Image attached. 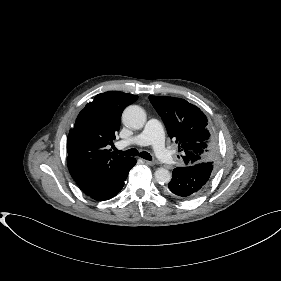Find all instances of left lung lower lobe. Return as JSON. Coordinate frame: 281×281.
<instances>
[{"mask_svg": "<svg viewBox=\"0 0 281 281\" xmlns=\"http://www.w3.org/2000/svg\"><path fill=\"white\" fill-rule=\"evenodd\" d=\"M213 169V162L175 168L168 189L178 198H193L205 188L213 174Z\"/></svg>", "mask_w": 281, "mask_h": 281, "instance_id": "obj_1", "label": "left lung lower lobe"}]
</instances>
